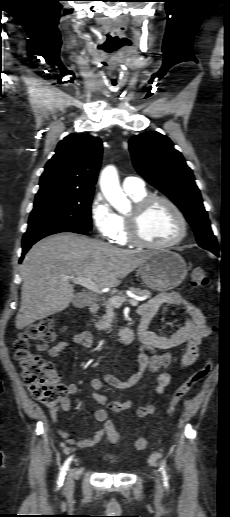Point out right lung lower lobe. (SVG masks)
Instances as JSON below:
<instances>
[{
  "label": "right lung lower lobe",
  "instance_id": "1",
  "mask_svg": "<svg viewBox=\"0 0 230 517\" xmlns=\"http://www.w3.org/2000/svg\"><path fill=\"white\" fill-rule=\"evenodd\" d=\"M60 232H74V233H79V234H86L88 231L84 230V229L66 226V225H55V226L43 227V228H39V229H35V230H29L23 236V240H22L23 251H22V256H21L19 262L21 263L26 252L38 240H40L48 235L60 233Z\"/></svg>",
  "mask_w": 230,
  "mask_h": 517
}]
</instances>
